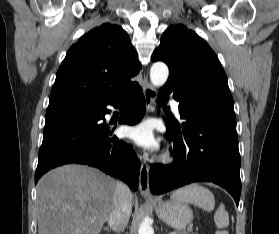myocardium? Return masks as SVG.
Instances as JSON below:
<instances>
[{"instance_id": "obj_1", "label": "myocardium", "mask_w": 279, "mask_h": 234, "mask_svg": "<svg viewBox=\"0 0 279 234\" xmlns=\"http://www.w3.org/2000/svg\"><path fill=\"white\" fill-rule=\"evenodd\" d=\"M164 159L167 160V159H168V156H165Z\"/></svg>"}]
</instances>
